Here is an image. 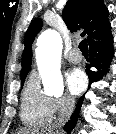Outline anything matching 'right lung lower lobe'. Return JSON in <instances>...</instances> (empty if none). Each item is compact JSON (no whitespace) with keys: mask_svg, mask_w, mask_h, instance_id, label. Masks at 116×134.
I'll return each mask as SVG.
<instances>
[{"mask_svg":"<svg viewBox=\"0 0 116 134\" xmlns=\"http://www.w3.org/2000/svg\"><path fill=\"white\" fill-rule=\"evenodd\" d=\"M98 41H93L89 44L90 46V62L92 66L98 68L97 72H93L87 69L86 73L89 78V83L98 81L102 74L107 72L108 66L113 57V38L110 30L97 39ZM84 96L80 98L74 114L71 120L65 125L64 130L70 134L71 130L75 127L79 111L83 102Z\"/></svg>","mask_w":116,"mask_h":134,"instance_id":"obj_1","label":"right lung lower lobe"}]
</instances>
